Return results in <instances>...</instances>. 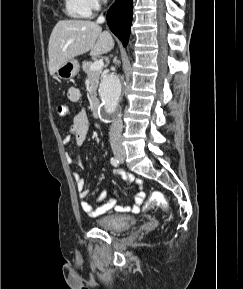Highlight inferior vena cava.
<instances>
[{"label": "inferior vena cava", "mask_w": 243, "mask_h": 289, "mask_svg": "<svg viewBox=\"0 0 243 289\" xmlns=\"http://www.w3.org/2000/svg\"><path fill=\"white\" fill-rule=\"evenodd\" d=\"M104 21L105 18L102 15L99 16L97 19V23H103ZM122 128L123 123L121 117L118 116L116 119L113 120L109 132L110 145L114 154L124 153L125 151L121 141Z\"/></svg>", "instance_id": "obj_1"}]
</instances>
